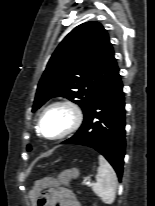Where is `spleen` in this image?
I'll return each instance as SVG.
<instances>
[{
  "mask_svg": "<svg viewBox=\"0 0 155 206\" xmlns=\"http://www.w3.org/2000/svg\"><path fill=\"white\" fill-rule=\"evenodd\" d=\"M94 193L106 204L115 200L117 189V176L114 169L103 156H99V168L96 183L93 184Z\"/></svg>",
  "mask_w": 155,
  "mask_h": 206,
  "instance_id": "3e777b00",
  "label": "spleen"
}]
</instances>
